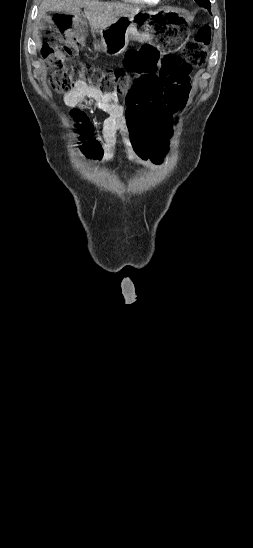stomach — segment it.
<instances>
[{"mask_svg":"<svg viewBox=\"0 0 253 548\" xmlns=\"http://www.w3.org/2000/svg\"><path fill=\"white\" fill-rule=\"evenodd\" d=\"M187 19L173 9L149 11L140 9L120 17L108 28L100 30V40L95 50L110 56L122 54L130 40L148 42L158 46L162 52L177 50L189 37Z\"/></svg>","mask_w":253,"mask_h":548,"instance_id":"obj_1","label":"stomach"}]
</instances>
